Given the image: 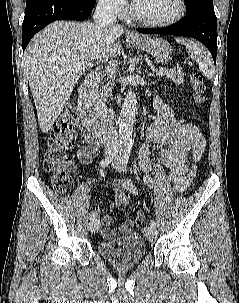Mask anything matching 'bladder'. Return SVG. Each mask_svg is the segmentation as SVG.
Returning <instances> with one entry per match:
<instances>
[{"mask_svg": "<svg viewBox=\"0 0 239 303\" xmlns=\"http://www.w3.org/2000/svg\"><path fill=\"white\" fill-rule=\"evenodd\" d=\"M98 251L117 266H129L137 263L145 255L146 249L142 236L132 233L100 242Z\"/></svg>", "mask_w": 239, "mask_h": 303, "instance_id": "obj_1", "label": "bladder"}]
</instances>
